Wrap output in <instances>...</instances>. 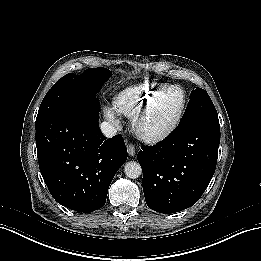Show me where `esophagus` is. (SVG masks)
Masks as SVG:
<instances>
[{
  "label": "esophagus",
  "mask_w": 261,
  "mask_h": 261,
  "mask_svg": "<svg viewBox=\"0 0 261 261\" xmlns=\"http://www.w3.org/2000/svg\"><path fill=\"white\" fill-rule=\"evenodd\" d=\"M127 147H128V153L133 156L135 154L134 147L131 144H129Z\"/></svg>",
  "instance_id": "1"
}]
</instances>
